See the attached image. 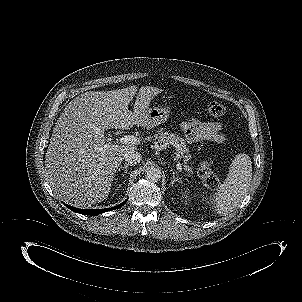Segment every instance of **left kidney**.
Returning a JSON list of instances; mask_svg holds the SVG:
<instances>
[{"instance_id":"obj_1","label":"left kidney","mask_w":302,"mask_h":302,"mask_svg":"<svg viewBox=\"0 0 302 302\" xmlns=\"http://www.w3.org/2000/svg\"><path fill=\"white\" fill-rule=\"evenodd\" d=\"M184 196H185V198L187 199L188 196L186 195V192H184Z\"/></svg>"}]
</instances>
